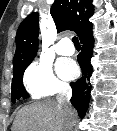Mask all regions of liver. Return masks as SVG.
<instances>
[{
	"mask_svg": "<svg viewBox=\"0 0 117 131\" xmlns=\"http://www.w3.org/2000/svg\"><path fill=\"white\" fill-rule=\"evenodd\" d=\"M76 113L74 111V118ZM68 116L56 100H44L21 108L12 131H67Z\"/></svg>",
	"mask_w": 117,
	"mask_h": 131,
	"instance_id": "obj_1",
	"label": "liver"
}]
</instances>
